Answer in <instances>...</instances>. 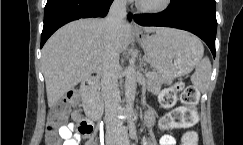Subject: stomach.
Returning a JSON list of instances; mask_svg holds the SVG:
<instances>
[{"label": "stomach", "instance_id": "stomach-1", "mask_svg": "<svg viewBox=\"0 0 243 145\" xmlns=\"http://www.w3.org/2000/svg\"><path fill=\"white\" fill-rule=\"evenodd\" d=\"M137 39L153 67L169 84L190 73L203 53L199 39L182 30L159 28Z\"/></svg>", "mask_w": 243, "mask_h": 145}]
</instances>
